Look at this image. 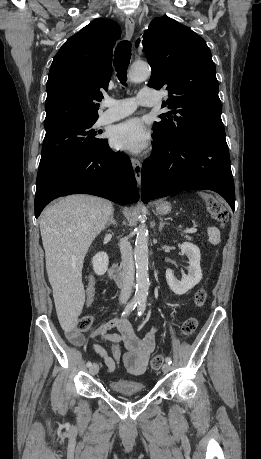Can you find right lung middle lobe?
<instances>
[{"mask_svg": "<svg viewBox=\"0 0 261 459\" xmlns=\"http://www.w3.org/2000/svg\"><path fill=\"white\" fill-rule=\"evenodd\" d=\"M96 120L65 121L45 128L38 172L68 157L99 150L107 140L92 128Z\"/></svg>", "mask_w": 261, "mask_h": 459, "instance_id": "dd1d6c3e", "label": "right lung middle lobe"}]
</instances>
